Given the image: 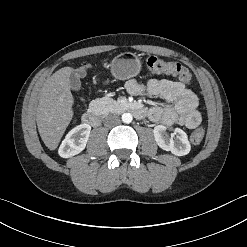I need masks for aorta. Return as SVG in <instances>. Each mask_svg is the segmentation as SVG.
Segmentation results:
<instances>
[{
    "instance_id": "obj_1",
    "label": "aorta",
    "mask_w": 247,
    "mask_h": 247,
    "mask_svg": "<svg viewBox=\"0 0 247 247\" xmlns=\"http://www.w3.org/2000/svg\"><path fill=\"white\" fill-rule=\"evenodd\" d=\"M132 120H133V117H132V115H131L130 113H124V114L122 115V121H123L124 123H131Z\"/></svg>"
}]
</instances>
